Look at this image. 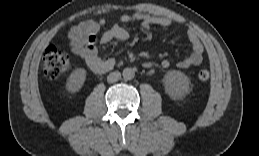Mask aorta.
Returning a JSON list of instances; mask_svg holds the SVG:
<instances>
[{
  "label": "aorta",
  "mask_w": 259,
  "mask_h": 156,
  "mask_svg": "<svg viewBox=\"0 0 259 156\" xmlns=\"http://www.w3.org/2000/svg\"><path fill=\"white\" fill-rule=\"evenodd\" d=\"M122 75L125 80H131L135 76V71L132 68H125Z\"/></svg>",
  "instance_id": "obj_1"
}]
</instances>
